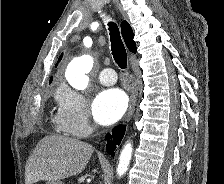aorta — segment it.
Masks as SVG:
<instances>
[{
    "instance_id": "obj_1",
    "label": "aorta",
    "mask_w": 224,
    "mask_h": 184,
    "mask_svg": "<svg viewBox=\"0 0 224 184\" xmlns=\"http://www.w3.org/2000/svg\"><path fill=\"white\" fill-rule=\"evenodd\" d=\"M93 58L90 55H83L74 58L67 66L65 77L68 83L77 90H85L88 86L89 78L87 74L93 67ZM132 157V145L126 143L120 153L117 174L122 176L126 173Z\"/></svg>"
}]
</instances>
